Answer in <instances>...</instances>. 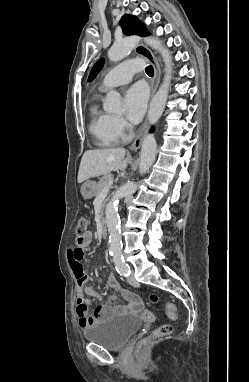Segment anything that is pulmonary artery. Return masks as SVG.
I'll use <instances>...</instances> for the list:
<instances>
[{
    "instance_id": "e3ab8cb5",
    "label": "pulmonary artery",
    "mask_w": 249,
    "mask_h": 382,
    "mask_svg": "<svg viewBox=\"0 0 249 382\" xmlns=\"http://www.w3.org/2000/svg\"><path fill=\"white\" fill-rule=\"evenodd\" d=\"M144 66L142 59L136 58L116 65L103 78L100 90L106 91L110 88L124 85L132 80L135 72L140 71Z\"/></svg>"
}]
</instances>
